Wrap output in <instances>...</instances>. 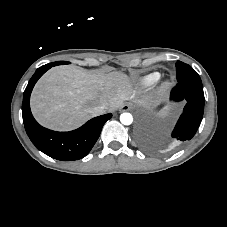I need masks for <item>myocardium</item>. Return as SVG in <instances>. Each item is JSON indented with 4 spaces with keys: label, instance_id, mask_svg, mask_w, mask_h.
I'll list each match as a JSON object with an SVG mask.
<instances>
[{
    "label": "myocardium",
    "instance_id": "myocardium-1",
    "mask_svg": "<svg viewBox=\"0 0 227 227\" xmlns=\"http://www.w3.org/2000/svg\"><path fill=\"white\" fill-rule=\"evenodd\" d=\"M168 86H169V82H167V81L164 82L163 85H162L163 88H167Z\"/></svg>",
    "mask_w": 227,
    "mask_h": 227
}]
</instances>
